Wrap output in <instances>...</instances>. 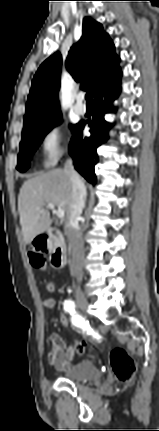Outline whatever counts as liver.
<instances>
[{"label":"liver","mask_w":159,"mask_h":431,"mask_svg":"<svg viewBox=\"0 0 159 431\" xmlns=\"http://www.w3.org/2000/svg\"><path fill=\"white\" fill-rule=\"evenodd\" d=\"M72 202V182L64 170L55 169L25 181L18 196L24 242L30 244L50 227V213L45 209L48 203L62 208L67 220Z\"/></svg>","instance_id":"obj_1"}]
</instances>
